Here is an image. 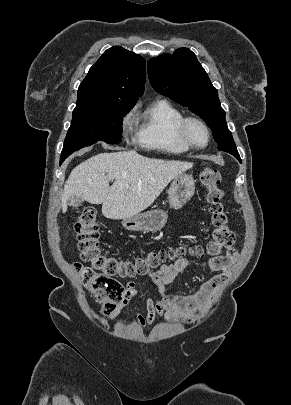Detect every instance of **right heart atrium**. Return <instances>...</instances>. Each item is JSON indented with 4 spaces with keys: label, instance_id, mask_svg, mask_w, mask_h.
<instances>
[{
    "label": "right heart atrium",
    "instance_id": "d8ad5b80",
    "mask_svg": "<svg viewBox=\"0 0 291 405\" xmlns=\"http://www.w3.org/2000/svg\"><path fill=\"white\" fill-rule=\"evenodd\" d=\"M132 122H133V112L129 111L124 115L121 121V127L125 136H127V133L131 128Z\"/></svg>",
    "mask_w": 291,
    "mask_h": 405
}]
</instances>
